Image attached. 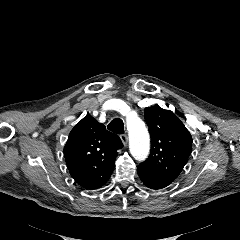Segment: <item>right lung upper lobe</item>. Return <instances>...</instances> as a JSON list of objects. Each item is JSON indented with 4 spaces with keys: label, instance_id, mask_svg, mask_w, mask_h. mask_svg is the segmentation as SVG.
Instances as JSON below:
<instances>
[{
    "label": "right lung upper lobe",
    "instance_id": "1",
    "mask_svg": "<svg viewBox=\"0 0 240 240\" xmlns=\"http://www.w3.org/2000/svg\"><path fill=\"white\" fill-rule=\"evenodd\" d=\"M122 147L119 136L87 115L71 130L64 156L76 183L84 189H98L110 178Z\"/></svg>",
    "mask_w": 240,
    "mask_h": 240
}]
</instances>
